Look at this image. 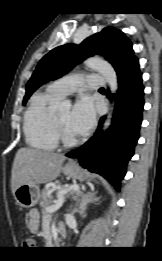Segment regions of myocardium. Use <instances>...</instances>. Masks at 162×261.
<instances>
[{
  "label": "myocardium",
  "mask_w": 162,
  "mask_h": 261,
  "mask_svg": "<svg viewBox=\"0 0 162 261\" xmlns=\"http://www.w3.org/2000/svg\"><path fill=\"white\" fill-rule=\"evenodd\" d=\"M52 126L58 143H61L66 147H71L77 143V139L70 137L63 129V127L57 120L55 113L52 114Z\"/></svg>",
  "instance_id": "obj_1"
}]
</instances>
